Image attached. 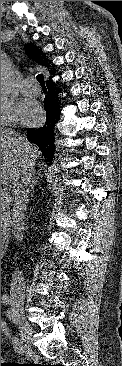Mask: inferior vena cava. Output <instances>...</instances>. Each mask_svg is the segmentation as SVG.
<instances>
[{"mask_svg":"<svg viewBox=\"0 0 122 366\" xmlns=\"http://www.w3.org/2000/svg\"><path fill=\"white\" fill-rule=\"evenodd\" d=\"M32 173L28 166H25L20 179L16 182L12 189L14 196V205L11 212V218L9 219L10 226L13 228V234L17 241L23 240V231L25 225V213L27 210V204L29 202V193L31 188ZM25 286L23 280L19 275L14 274L11 282V296L24 299Z\"/></svg>","mask_w":122,"mask_h":366,"instance_id":"1","label":"inferior vena cava"}]
</instances>
